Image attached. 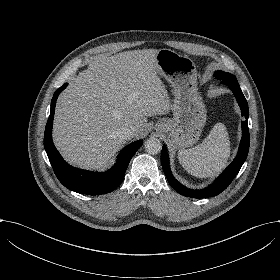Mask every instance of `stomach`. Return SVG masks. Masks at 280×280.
Masks as SVG:
<instances>
[{"label":"stomach","instance_id":"stomach-1","mask_svg":"<svg viewBox=\"0 0 280 280\" xmlns=\"http://www.w3.org/2000/svg\"><path fill=\"white\" fill-rule=\"evenodd\" d=\"M156 72L165 78L174 95L173 118L155 125L162 132V123L167 122L165 132L174 147L193 146L206 123V108L198 92L196 65L188 56L171 49H160L155 55Z\"/></svg>","mask_w":280,"mask_h":280}]
</instances>
